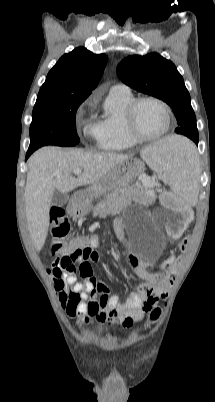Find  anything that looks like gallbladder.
<instances>
[{
	"label": "gallbladder",
	"instance_id": "1",
	"mask_svg": "<svg viewBox=\"0 0 215 402\" xmlns=\"http://www.w3.org/2000/svg\"><path fill=\"white\" fill-rule=\"evenodd\" d=\"M69 201V195L60 191H55L51 203L53 206L61 207Z\"/></svg>",
	"mask_w": 215,
	"mask_h": 402
}]
</instances>
